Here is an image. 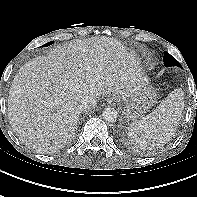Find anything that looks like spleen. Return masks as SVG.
Segmentation results:
<instances>
[{"instance_id": "1", "label": "spleen", "mask_w": 197, "mask_h": 197, "mask_svg": "<svg viewBox=\"0 0 197 197\" xmlns=\"http://www.w3.org/2000/svg\"><path fill=\"white\" fill-rule=\"evenodd\" d=\"M184 92L173 90L149 115L130 123L128 136L141 149H152L170 141L181 120Z\"/></svg>"}]
</instances>
